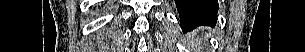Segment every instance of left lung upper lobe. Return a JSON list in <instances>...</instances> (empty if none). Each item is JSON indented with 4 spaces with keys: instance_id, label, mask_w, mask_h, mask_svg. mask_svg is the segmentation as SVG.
<instances>
[{
    "instance_id": "obj_1",
    "label": "left lung upper lobe",
    "mask_w": 305,
    "mask_h": 52,
    "mask_svg": "<svg viewBox=\"0 0 305 52\" xmlns=\"http://www.w3.org/2000/svg\"><path fill=\"white\" fill-rule=\"evenodd\" d=\"M180 15V25H193L203 22L207 18V13L200 11L199 9H190L182 11Z\"/></svg>"
}]
</instances>
